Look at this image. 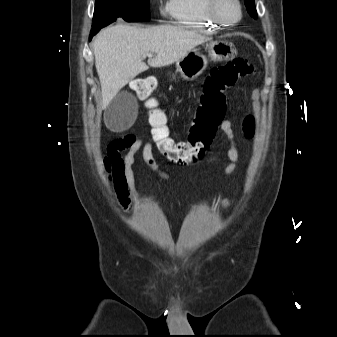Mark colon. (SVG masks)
Instances as JSON below:
<instances>
[{
    "instance_id": "5ec220e1",
    "label": "colon",
    "mask_w": 337,
    "mask_h": 337,
    "mask_svg": "<svg viewBox=\"0 0 337 337\" xmlns=\"http://www.w3.org/2000/svg\"><path fill=\"white\" fill-rule=\"evenodd\" d=\"M253 71V64L240 57L211 70L205 80L186 140L176 141L175 137H171L164 115L157 110L152 111L149 133H153L159 153L169 161L181 165L200 159L208 151L226 113L227 91ZM156 86L157 80L153 77H141L133 82L134 91L143 98H148ZM242 130L246 138L254 137L256 123L252 115L245 117Z\"/></svg>"
}]
</instances>
